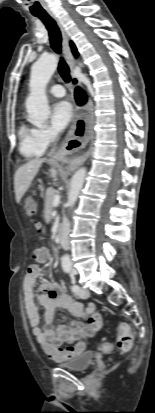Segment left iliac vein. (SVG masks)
<instances>
[{
    "instance_id": "obj_1",
    "label": "left iliac vein",
    "mask_w": 155,
    "mask_h": 413,
    "mask_svg": "<svg viewBox=\"0 0 155 413\" xmlns=\"http://www.w3.org/2000/svg\"><path fill=\"white\" fill-rule=\"evenodd\" d=\"M77 295L82 298V299H86L89 297V291L83 287H81L77 293Z\"/></svg>"
}]
</instances>
